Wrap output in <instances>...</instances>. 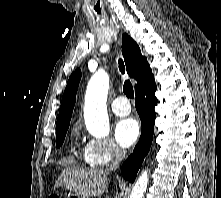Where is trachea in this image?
<instances>
[{"label":"trachea","instance_id":"trachea-1","mask_svg":"<svg viewBox=\"0 0 221 198\" xmlns=\"http://www.w3.org/2000/svg\"><path fill=\"white\" fill-rule=\"evenodd\" d=\"M119 69L122 74L125 73V66L123 61L120 59L119 60ZM123 92L128 98H134V91H133V86L129 80H126L124 85H123Z\"/></svg>","mask_w":221,"mask_h":198}]
</instances>
